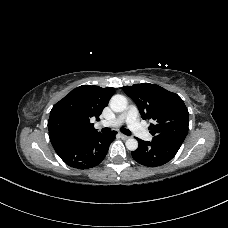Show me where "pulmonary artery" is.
Segmentation results:
<instances>
[{
	"mask_svg": "<svg viewBox=\"0 0 228 228\" xmlns=\"http://www.w3.org/2000/svg\"><path fill=\"white\" fill-rule=\"evenodd\" d=\"M127 123L129 129L139 138L143 140H151V134L144 128L138 119V109L134 105H130L128 109L110 121H102L104 126H119Z\"/></svg>",
	"mask_w": 228,
	"mask_h": 228,
	"instance_id": "pulmonary-artery-1",
	"label": "pulmonary artery"
}]
</instances>
